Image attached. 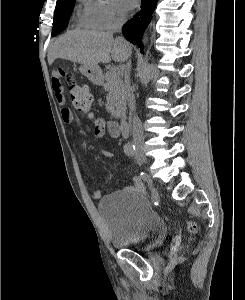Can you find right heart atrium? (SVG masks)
Wrapping results in <instances>:
<instances>
[{
    "label": "right heart atrium",
    "mask_w": 245,
    "mask_h": 300,
    "mask_svg": "<svg viewBox=\"0 0 245 300\" xmlns=\"http://www.w3.org/2000/svg\"><path fill=\"white\" fill-rule=\"evenodd\" d=\"M84 12L92 26L108 30L122 22L125 12L118 0H82Z\"/></svg>",
    "instance_id": "right-heart-atrium-1"
}]
</instances>
